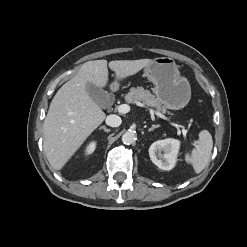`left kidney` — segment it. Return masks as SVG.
Here are the masks:
<instances>
[{
	"instance_id": "obj_1",
	"label": "left kidney",
	"mask_w": 247,
	"mask_h": 247,
	"mask_svg": "<svg viewBox=\"0 0 247 247\" xmlns=\"http://www.w3.org/2000/svg\"><path fill=\"white\" fill-rule=\"evenodd\" d=\"M180 141L164 139L154 142L149 148L151 161L162 170H171L176 162Z\"/></svg>"
}]
</instances>
